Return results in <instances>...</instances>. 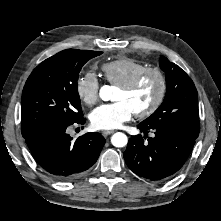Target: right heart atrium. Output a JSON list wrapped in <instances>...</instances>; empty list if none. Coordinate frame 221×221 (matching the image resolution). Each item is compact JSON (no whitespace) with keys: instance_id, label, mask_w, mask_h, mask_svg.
Masks as SVG:
<instances>
[{"instance_id":"1","label":"right heart atrium","mask_w":221,"mask_h":221,"mask_svg":"<svg viewBox=\"0 0 221 221\" xmlns=\"http://www.w3.org/2000/svg\"><path fill=\"white\" fill-rule=\"evenodd\" d=\"M100 83L97 75L93 71L81 74L76 80V92L80 100L93 105L99 98Z\"/></svg>"}]
</instances>
